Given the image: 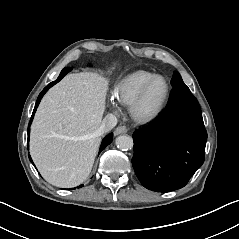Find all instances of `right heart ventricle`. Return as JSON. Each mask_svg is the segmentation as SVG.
<instances>
[{
	"mask_svg": "<svg viewBox=\"0 0 239 239\" xmlns=\"http://www.w3.org/2000/svg\"><path fill=\"white\" fill-rule=\"evenodd\" d=\"M157 74L146 69L132 71L113 87V97L122 105L130 106L142 87Z\"/></svg>",
	"mask_w": 239,
	"mask_h": 239,
	"instance_id": "obj_1",
	"label": "right heart ventricle"
}]
</instances>
